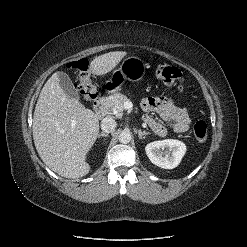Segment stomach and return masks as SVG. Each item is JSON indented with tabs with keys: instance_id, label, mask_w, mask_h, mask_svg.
<instances>
[{
	"instance_id": "stomach-1",
	"label": "stomach",
	"mask_w": 247,
	"mask_h": 247,
	"mask_svg": "<svg viewBox=\"0 0 247 247\" xmlns=\"http://www.w3.org/2000/svg\"><path fill=\"white\" fill-rule=\"evenodd\" d=\"M146 69L147 64L139 57L129 56L125 58L119 69L113 74V81H111L113 88H119L125 80L139 81L143 79Z\"/></svg>"
}]
</instances>
